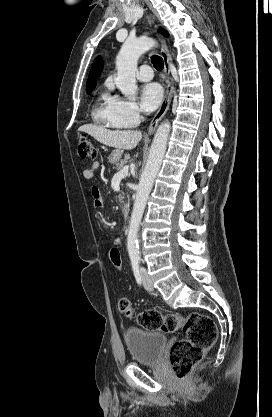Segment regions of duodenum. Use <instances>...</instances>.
<instances>
[{"mask_svg":"<svg viewBox=\"0 0 272 417\" xmlns=\"http://www.w3.org/2000/svg\"><path fill=\"white\" fill-rule=\"evenodd\" d=\"M121 211H122V213H123V215H124V216H128L129 211H130V206H129V204H128V203H126V202H124V203L121 205Z\"/></svg>","mask_w":272,"mask_h":417,"instance_id":"duodenum-1","label":"duodenum"}]
</instances>
